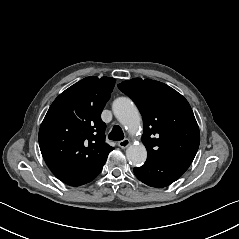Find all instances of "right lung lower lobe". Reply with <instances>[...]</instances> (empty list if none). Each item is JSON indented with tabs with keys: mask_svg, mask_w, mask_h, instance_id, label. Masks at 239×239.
<instances>
[{
	"mask_svg": "<svg viewBox=\"0 0 239 239\" xmlns=\"http://www.w3.org/2000/svg\"><path fill=\"white\" fill-rule=\"evenodd\" d=\"M107 159V158H106ZM106 159L90 170L85 171H69V170H53L52 173L62 182L69 186H81L94 180L101 172Z\"/></svg>",
	"mask_w": 239,
	"mask_h": 239,
	"instance_id": "98d812e1",
	"label": "right lung lower lobe"
}]
</instances>
